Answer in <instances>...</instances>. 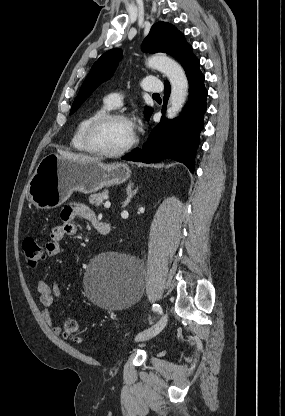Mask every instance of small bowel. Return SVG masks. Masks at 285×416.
Wrapping results in <instances>:
<instances>
[{"mask_svg":"<svg viewBox=\"0 0 285 416\" xmlns=\"http://www.w3.org/2000/svg\"><path fill=\"white\" fill-rule=\"evenodd\" d=\"M62 223L54 226L50 230V241L46 244V252L50 257H56L61 254V241L65 237L73 236L77 233V227L74 224L76 218L84 219L95 227L102 222L96 214L83 204H71L65 206L60 214ZM39 300L42 305V314L44 321L57 336L62 335V328L54 323L52 310L56 299L60 297V288L57 283L48 284L44 281L38 284Z\"/></svg>","mask_w":285,"mask_h":416,"instance_id":"obj_1","label":"small bowel"}]
</instances>
